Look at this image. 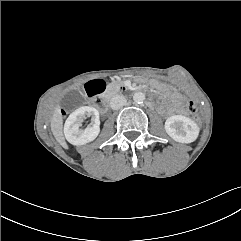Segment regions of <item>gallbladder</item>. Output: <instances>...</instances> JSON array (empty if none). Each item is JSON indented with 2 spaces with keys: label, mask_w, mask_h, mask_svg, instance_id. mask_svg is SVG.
Here are the masks:
<instances>
[{
  "label": "gallbladder",
  "mask_w": 241,
  "mask_h": 241,
  "mask_svg": "<svg viewBox=\"0 0 241 241\" xmlns=\"http://www.w3.org/2000/svg\"><path fill=\"white\" fill-rule=\"evenodd\" d=\"M75 97H76L75 95H70V98H71V99H75ZM80 97H81V96H80Z\"/></svg>",
  "instance_id": "gallbladder-1"
}]
</instances>
